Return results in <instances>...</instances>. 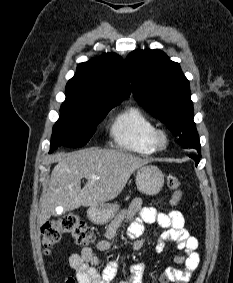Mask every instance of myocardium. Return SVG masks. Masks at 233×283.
I'll return each mask as SVG.
<instances>
[{"label": "myocardium", "mask_w": 233, "mask_h": 283, "mask_svg": "<svg viewBox=\"0 0 233 283\" xmlns=\"http://www.w3.org/2000/svg\"><path fill=\"white\" fill-rule=\"evenodd\" d=\"M152 143L156 150H164L169 144L167 133L162 129H156L152 136Z\"/></svg>", "instance_id": "1"}]
</instances>
